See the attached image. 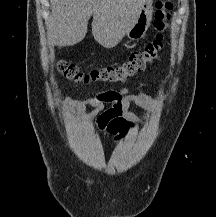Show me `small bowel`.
Returning <instances> with one entry per match:
<instances>
[{"mask_svg": "<svg viewBox=\"0 0 216 217\" xmlns=\"http://www.w3.org/2000/svg\"><path fill=\"white\" fill-rule=\"evenodd\" d=\"M132 104L150 114L156 113L159 108V103L147 93L141 91L137 94H130L127 88L101 91L83 100L68 98L64 102L67 116L72 112L81 114L87 105L92 106L94 110L89 119L93 120L97 130L107 129L119 121L146 127V122L129 110ZM106 105L109 107L105 108Z\"/></svg>", "mask_w": 216, "mask_h": 217, "instance_id": "obj_1", "label": "small bowel"}]
</instances>
